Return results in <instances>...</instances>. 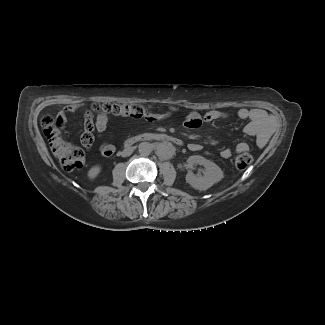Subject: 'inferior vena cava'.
Instances as JSON below:
<instances>
[{"label": "inferior vena cava", "mask_w": 325, "mask_h": 325, "mask_svg": "<svg viewBox=\"0 0 325 325\" xmlns=\"http://www.w3.org/2000/svg\"><path fill=\"white\" fill-rule=\"evenodd\" d=\"M133 152V149L132 148H126L122 151V156L123 157H126V156H130Z\"/></svg>", "instance_id": "obj_1"}]
</instances>
